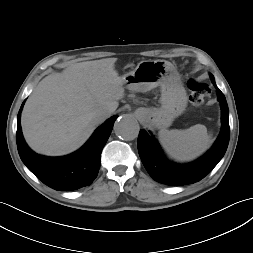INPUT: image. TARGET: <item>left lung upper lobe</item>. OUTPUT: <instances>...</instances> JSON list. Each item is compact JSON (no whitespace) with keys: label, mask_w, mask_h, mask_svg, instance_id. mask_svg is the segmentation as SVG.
I'll use <instances>...</instances> for the list:
<instances>
[{"label":"left lung upper lobe","mask_w":253,"mask_h":253,"mask_svg":"<svg viewBox=\"0 0 253 253\" xmlns=\"http://www.w3.org/2000/svg\"><path fill=\"white\" fill-rule=\"evenodd\" d=\"M210 77H211L212 82H215L214 76L212 74L210 75Z\"/></svg>","instance_id":"5c2ea615"}]
</instances>
